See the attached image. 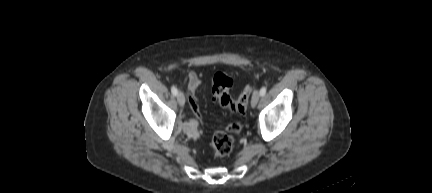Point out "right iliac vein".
Returning <instances> with one entry per match:
<instances>
[{
    "instance_id": "1",
    "label": "right iliac vein",
    "mask_w": 432,
    "mask_h": 193,
    "mask_svg": "<svg viewBox=\"0 0 432 193\" xmlns=\"http://www.w3.org/2000/svg\"><path fill=\"white\" fill-rule=\"evenodd\" d=\"M177 101H178V103H179L180 106H184V104H185V96H184V94L182 92H179L177 94Z\"/></svg>"
}]
</instances>
